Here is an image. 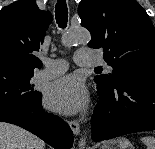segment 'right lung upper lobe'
<instances>
[{
  "instance_id": "cb5924a9",
  "label": "right lung upper lobe",
  "mask_w": 155,
  "mask_h": 149,
  "mask_svg": "<svg viewBox=\"0 0 155 149\" xmlns=\"http://www.w3.org/2000/svg\"><path fill=\"white\" fill-rule=\"evenodd\" d=\"M52 21L49 11H41L35 0H18L0 11V68L33 73L41 61L39 51Z\"/></svg>"
}]
</instances>
